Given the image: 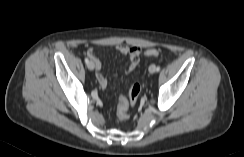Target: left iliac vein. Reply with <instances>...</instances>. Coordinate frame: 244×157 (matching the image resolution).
<instances>
[{"label": "left iliac vein", "mask_w": 244, "mask_h": 157, "mask_svg": "<svg viewBox=\"0 0 244 157\" xmlns=\"http://www.w3.org/2000/svg\"><path fill=\"white\" fill-rule=\"evenodd\" d=\"M155 69H156V66L154 64H152L149 67V72L152 74V73H154L156 71Z\"/></svg>", "instance_id": "4c4485c4"}]
</instances>
